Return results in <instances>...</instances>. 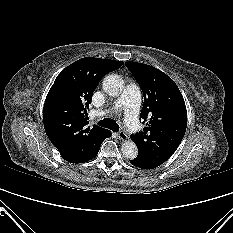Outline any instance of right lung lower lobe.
Listing matches in <instances>:
<instances>
[{
    "instance_id": "right-lung-lower-lobe-1",
    "label": "right lung lower lobe",
    "mask_w": 233,
    "mask_h": 233,
    "mask_svg": "<svg viewBox=\"0 0 233 233\" xmlns=\"http://www.w3.org/2000/svg\"><path fill=\"white\" fill-rule=\"evenodd\" d=\"M110 136H111V132L108 131V134H107L106 138H108V137H110ZM106 138H105V139H106ZM100 146H101V145H100ZM100 146H99V148H98L92 155H90V156L87 158L86 161H89V160L93 159V158L98 154V151H99V149H100ZM86 161H85V162H86Z\"/></svg>"
}]
</instances>
